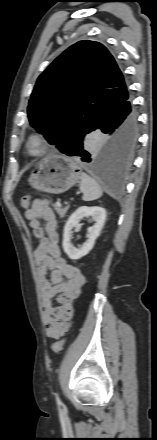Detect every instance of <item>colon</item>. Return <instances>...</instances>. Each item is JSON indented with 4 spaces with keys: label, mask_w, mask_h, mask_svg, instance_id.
<instances>
[{
    "label": "colon",
    "mask_w": 157,
    "mask_h": 440,
    "mask_svg": "<svg viewBox=\"0 0 157 440\" xmlns=\"http://www.w3.org/2000/svg\"><path fill=\"white\" fill-rule=\"evenodd\" d=\"M30 202H31V197L29 195H25L21 198V206L24 209L29 208ZM64 343L65 341L63 339L55 342L51 347L52 351L54 353H59L63 349Z\"/></svg>",
    "instance_id": "5ec220e1"
}]
</instances>
